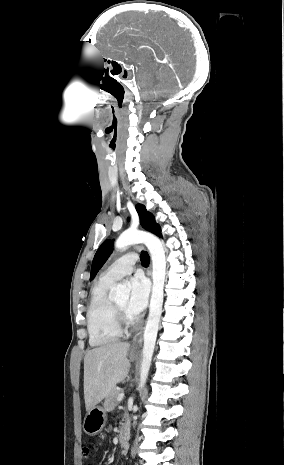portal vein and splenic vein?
<instances>
[{
	"label": "portal vein and splenic vein",
	"instance_id": "portal-vein-and-splenic-vein-1",
	"mask_svg": "<svg viewBox=\"0 0 284 465\" xmlns=\"http://www.w3.org/2000/svg\"><path fill=\"white\" fill-rule=\"evenodd\" d=\"M124 399V393H121V395H118L116 401H122Z\"/></svg>",
	"mask_w": 284,
	"mask_h": 465
}]
</instances>
